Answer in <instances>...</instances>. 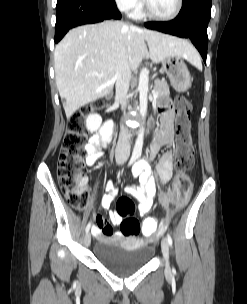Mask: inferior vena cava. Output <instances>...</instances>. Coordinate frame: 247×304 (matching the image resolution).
Returning a JSON list of instances; mask_svg holds the SVG:
<instances>
[{"instance_id":"inferior-vena-cava-1","label":"inferior vena cava","mask_w":247,"mask_h":304,"mask_svg":"<svg viewBox=\"0 0 247 304\" xmlns=\"http://www.w3.org/2000/svg\"><path fill=\"white\" fill-rule=\"evenodd\" d=\"M131 79V68L128 61V54L125 48L120 51L117 69L115 74L116 81V100H118L122 109L126 106L128 98V90ZM130 154L129 134L128 130L122 125L119 141L115 150V159L118 164L127 161Z\"/></svg>"}]
</instances>
